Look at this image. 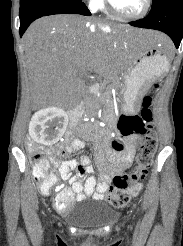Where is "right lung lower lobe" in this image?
<instances>
[{
    "mask_svg": "<svg viewBox=\"0 0 183 246\" xmlns=\"http://www.w3.org/2000/svg\"><path fill=\"white\" fill-rule=\"evenodd\" d=\"M54 14L91 15L88 8L80 0H38L20 3V36L22 37L34 20Z\"/></svg>",
    "mask_w": 183,
    "mask_h": 246,
    "instance_id": "98d812e1",
    "label": "right lung lower lobe"
}]
</instances>
